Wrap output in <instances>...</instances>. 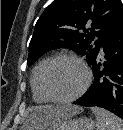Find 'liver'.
I'll list each match as a JSON object with an SVG mask.
<instances>
[{"mask_svg": "<svg viewBox=\"0 0 123 130\" xmlns=\"http://www.w3.org/2000/svg\"><path fill=\"white\" fill-rule=\"evenodd\" d=\"M78 106H39L30 115L26 128L48 130L51 126L80 113Z\"/></svg>", "mask_w": 123, "mask_h": 130, "instance_id": "obj_1", "label": "liver"}]
</instances>
